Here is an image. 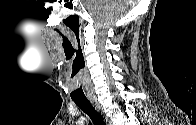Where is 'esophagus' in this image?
<instances>
[{"mask_svg": "<svg viewBox=\"0 0 196 125\" xmlns=\"http://www.w3.org/2000/svg\"><path fill=\"white\" fill-rule=\"evenodd\" d=\"M90 101L97 109H100V105H99L97 99L90 98Z\"/></svg>", "mask_w": 196, "mask_h": 125, "instance_id": "1", "label": "esophagus"}]
</instances>
